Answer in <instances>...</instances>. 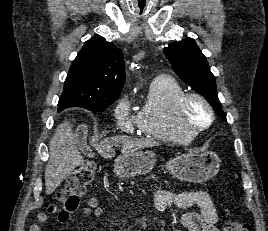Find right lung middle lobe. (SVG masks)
Wrapping results in <instances>:
<instances>
[{"label": "right lung middle lobe", "mask_w": 268, "mask_h": 231, "mask_svg": "<svg viewBox=\"0 0 268 231\" xmlns=\"http://www.w3.org/2000/svg\"><path fill=\"white\" fill-rule=\"evenodd\" d=\"M116 99L102 101L96 104H77V103H58V112L64 110L68 107H83L93 112H100L106 109L109 105H111Z\"/></svg>", "instance_id": "1"}]
</instances>
